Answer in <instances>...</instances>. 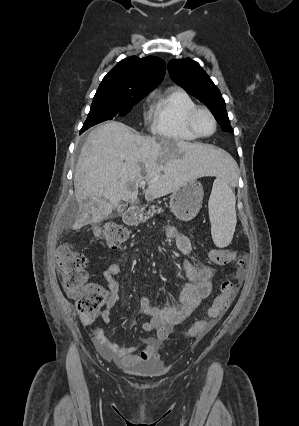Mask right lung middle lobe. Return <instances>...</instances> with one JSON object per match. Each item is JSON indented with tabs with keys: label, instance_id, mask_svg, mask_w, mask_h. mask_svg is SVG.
<instances>
[{
	"label": "right lung middle lobe",
	"instance_id": "dd1d6c3e",
	"mask_svg": "<svg viewBox=\"0 0 299 426\" xmlns=\"http://www.w3.org/2000/svg\"><path fill=\"white\" fill-rule=\"evenodd\" d=\"M148 93L149 91L136 95H124L112 90L98 88L81 133L91 126L111 120L115 116H125Z\"/></svg>",
	"mask_w": 299,
	"mask_h": 426
}]
</instances>
